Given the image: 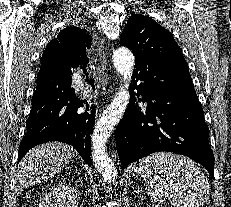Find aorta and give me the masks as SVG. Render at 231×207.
Instances as JSON below:
<instances>
[{
    "label": "aorta",
    "instance_id": "1",
    "mask_svg": "<svg viewBox=\"0 0 231 207\" xmlns=\"http://www.w3.org/2000/svg\"><path fill=\"white\" fill-rule=\"evenodd\" d=\"M135 57L127 48H119L113 54V64L116 71L127 84L115 95L109 106L96 123L92 134V160L104 180L111 183L117 176V170L111 158L106 153V142L114 127L122 119L130 99L128 82L131 78Z\"/></svg>",
    "mask_w": 231,
    "mask_h": 207
}]
</instances>
